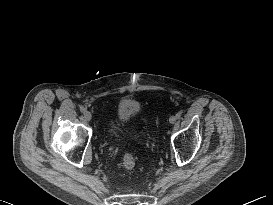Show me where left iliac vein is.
<instances>
[{
    "mask_svg": "<svg viewBox=\"0 0 273 205\" xmlns=\"http://www.w3.org/2000/svg\"><path fill=\"white\" fill-rule=\"evenodd\" d=\"M169 122H170L171 124H174V123L176 122V117H175V116H171V117L169 118Z\"/></svg>",
    "mask_w": 273,
    "mask_h": 205,
    "instance_id": "obj_1",
    "label": "left iliac vein"
}]
</instances>
